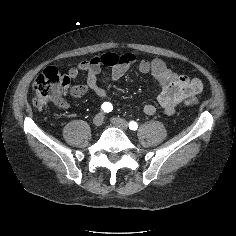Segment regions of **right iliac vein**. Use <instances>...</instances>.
Returning a JSON list of instances; mask_svg holds the SVG:
<instances>
[{
    "label": "right iliac vein",
    "instance_id": "right-iliac-vein-1",
    "mask_svg": "<svg viewBox=\"0 0 236 236\" xmlns=\"http://www.w3.org/2000/svg\"><path fill=\"white\" fill-rule=\"evenodd\" d=\"M104 122V116L102 113L97 114L94 118H93V124L96 127H100Z\"/></svg>",
    "mask_w": 236,
    "mask_h": 236
}]
</instances>
